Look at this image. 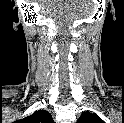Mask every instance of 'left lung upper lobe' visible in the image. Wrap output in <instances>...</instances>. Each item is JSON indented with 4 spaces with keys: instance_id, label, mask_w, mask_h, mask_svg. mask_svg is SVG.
Here are the masks:
<instances>
[{
    "instance_id": "5c2ea615",
    "label": "left lung upper lobe",
    "mask_w": 124,
    "mask_h": 123,
    "mask_svg": "<svg viewBox=\"0 0 124 123\" xmlns=\"http://www.w3.org/2000/svg\"><path fill=\"white\" fill-rule=\"evenodd\" d=\"M79 123H102L103 120L96 114H93L89 111H85L81 114L78 119Z\"/></svg>"
}]
</instances>
